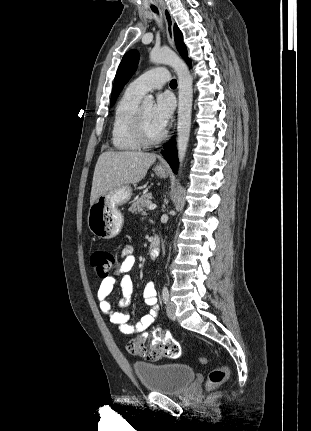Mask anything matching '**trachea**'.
<instances>
[{
  "label": "trachea",
  "mask_w": 311,
  "mask_h": 431,
  "mask_svg": "<svg viewBox=\"0 0 311 431\" xmlns=\"http://www.w3.org/2000/svg\"><path fill=\"white\" fill-rule=\"evenodd\" d=\"M152 11H154V13L159 14L158 9L155 8V7L152 8ZM170 86L176 88V86H177V80L172 79L171 82H170Z\"/></svg>",
  "instance_id": "trachea-1"
}]
</instances>
